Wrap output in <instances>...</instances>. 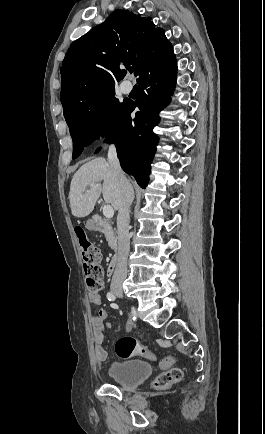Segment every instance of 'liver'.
<instances>
[{
    "instance_id": "obj_1",
    "label": "liver",
    "mask_w": 265,
    "mask_h": 434,
    "mask_svg": "<svg viewBox=\"0 0 265 434\" xmlns=\"http://www.w3.org/2000/svg\"><path fill=\"white\" fill-rule=\"evenodd\" d=\"M88 186H91L90 190H86ZM100 194H103L106 204H111L114 210H119L121 186L116 170L106 162L105 158H95L83 164L74 174L69 192L72 216L75 218L89 216Z\"/></svg>"
}]
</instances>
